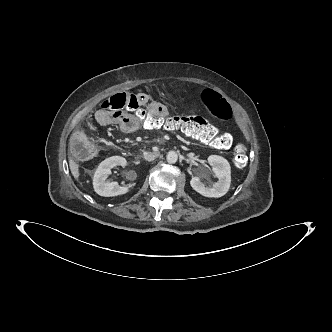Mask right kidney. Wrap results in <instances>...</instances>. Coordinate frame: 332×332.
<instances>
[{"instance_id":"obj_1","label":"right kidney","mask_w":332,"mask_h":332,"mask_svg":"<svg viewBox=\"0 0 332 332\" xmlns=\"http://www.w3.org/2000/svg\"><path fill=\"white\" fill-rule=\"evenodd\" d=\"M127 161L121 156H112L102 161L96 169L93 177V187L95 192L104 197H112L125 194L129 191L128 186H120L117 182L107 181L111 174V169L117 165L125 167Z\"/></svg>"}]
</instances>
